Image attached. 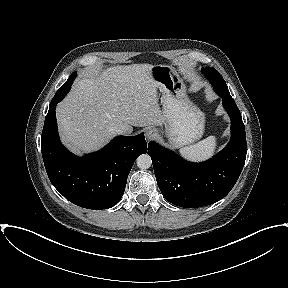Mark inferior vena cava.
<instances>
[{
  "label": "inferior vena cava",
  "instance_id": "602c4592",
  "mask_svg": "<svg viewBox=\"0 0 288 288\" xmlns=\"http://www.w3.org/2000/svg\"><path fill=\"white\" fill-rule=\"evenodd\" d=\"M115 132H116L117 134H121V135L127 134L124 128H117V129L115 130Z\"/></svg>",
  "mask_w": 288,
  "mask_h": 288
}]
</instances>
